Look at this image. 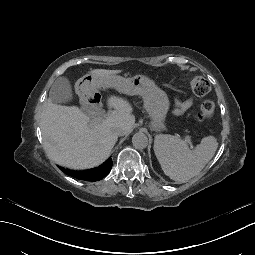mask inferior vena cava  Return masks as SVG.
<instances>
[{
  "mask_svg": "<svg viewBox=\"0 0 255 255\" xmlns=\"http://www.w3.org/2000/svg\"><path fill=\"white\" fill-rule=\"evenodd\" d=\"M113 131L118 135V136H124L128 132V128L123 125V124H117L113 127Z\"/></svg>",
  "mask_w": 255,
  "mask_h": 255,
  "instance_id": "1",
  "label": "inferior vena cava"
}]
</instances>
